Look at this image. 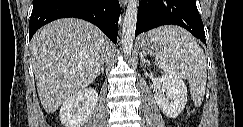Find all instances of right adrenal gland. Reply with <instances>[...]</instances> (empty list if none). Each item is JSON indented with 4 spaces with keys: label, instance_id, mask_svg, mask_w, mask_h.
Listing matches in <instances>:
<instances>
[{
    "label": "right adrenal gland",
    "instance_id": "right-adrenal-gland-1",
    "mask_svg": "<svg viewBox=\"0 0 243 127\" xmlns=\"http://www.w3.org/2000/svg\"><path fill=\"white\" fill-rule=\"evenodd\" d=\"M103 73H104V66L102 65V67H101V69H100V71L98 73V76H100V74H103Z\"/></svg>",
    "mask_w": 243,
    "mask_h": 127
}]
</instances>
